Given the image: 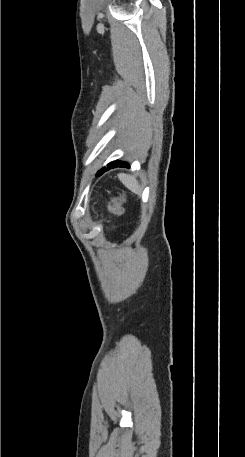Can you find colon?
I'll return each mask as SVG.
<instances>
[{
  "label": "colon",
  "instance_id": "5ec220e1",
  "mask_svg": "<svg viewBox=\"0 0 245 457\" xmlns=\"http://www.w3.org/2000/svg\"><path fill=\"white\" fill-rule=\"evenodd\" d=\"M126 201V197L124 194L119 193L115 195L108 206L109 212L112 215L120 216L123 214L124 208L123 205Z\"/></svg>",
  "mask_w": 245,
  "mask_h": 457
}]
</instances>
